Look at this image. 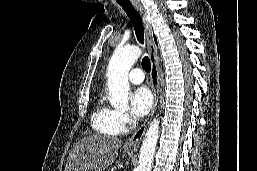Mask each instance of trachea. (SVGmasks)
I'll return each mask as SVG.
<instances>
[{"mask_svg":"<svg viewBox=\"0 0 257 171\" xmlns=\"http://www.w3.org/2000/svg\"><path fill=\"white\" fill-rule=\"evenodd\" d=\"M119 5L123 8V10L128 15V17L134 27L137 40L139 41V43L143 44L144 43V27H143L142 19H141L139 13L135 10V8L133 7V5L131 3H119ZM142 67L147 73H149L151 70L150 60L147 56H144L142 59Z\"/></svg>","mask_w":257,"mask_h":171,"instance_id":"trachea-1","label":"trachea"}]
</instances>
